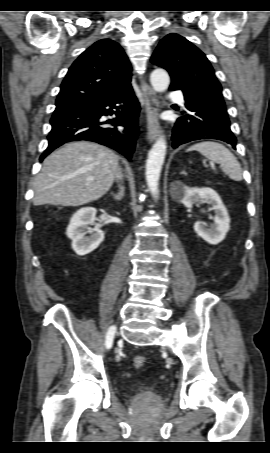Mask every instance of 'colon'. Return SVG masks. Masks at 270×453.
I'll use <instances>...</instances> for the list:
<instances>
[{"mask_svg":"<svg viewBox=\"0 0 270 453\" xmlns=\"http://www.w3.org/2000/svg\"><path fill=\"white\" fill-rule=\"evenodd\" d=\"M148 360L145 356H136L133 360L136 369H143L147 366Z\"/></svg>","mask_w":270,"mask_h":453,"instance_id":"colon-1","label":"colon"}]
</instances>
